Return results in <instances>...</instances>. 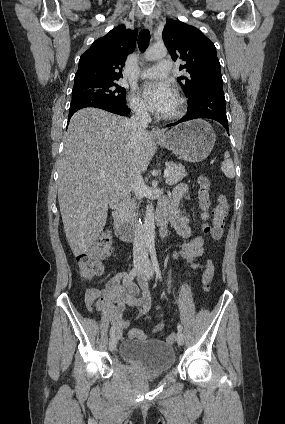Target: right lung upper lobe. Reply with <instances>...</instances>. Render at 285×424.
<instances>
[{"label": "right lung upper lobe", "instance_id": "cb5924a9", "mask_svg": "<svg viewBox=\"0 0 285 424\" xmlns=\"http://www.w3.org/2000/svg\"><path fill=\"white\" fill-rule=\"evenodd\" d=\"M136 39L137 31L126 29L124 25L97 39L80 57L74 84L119 80L127 55L135 48Z\"/></svg>", "mask_w": 285, "mask_h": 424}]
</instances>
